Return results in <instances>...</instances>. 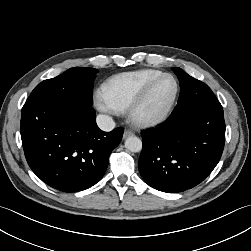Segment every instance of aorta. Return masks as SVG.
<instances>
[{
	"mask_svg": "<svg viewBox=\"0 0 251 251\" xmlns=\"http://www.w3.org/2000/svg\"><path fill=\"white\" fill-rule=\"evenodd\" d=\"M125 147L131 152H140L142 150V141L136 136H130L125 140Z\"/></svg>",
	"mask_w": 251,
	"mask_h": 251,
	"instance_id": "1",
	"label": "aorta"
}]
</instances>
